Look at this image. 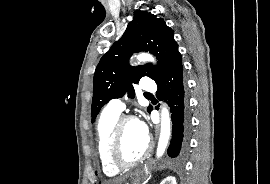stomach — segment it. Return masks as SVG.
I'll list each match as a JSON object with an SVG mask.
<instances>
[{
  "label": "stomach",
  "mask_w": 270,
  "mask_h": 184,
  "mask_svg": "<svg viewBox=\"0 0 270 184\" xmlns=\"http://www.w3.org/2000/svg\"><path fill=\"white\" fill-rule=\"evenodd\" d=\"M132 179H133V184H140V181L142 179L145 178L146 176V172H145V169H140L138 171H136L135 173H133L132 175Z\"/></svg>",
  "instance_id": "0dacf381"
}]
</instances>
